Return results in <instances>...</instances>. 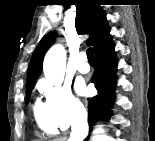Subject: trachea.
I'll return each instance as SVG.
<instances>
[{"label": "trachea", "mask_w": 155, "mask_h": 141, "mask_svg": "<svg viewBox=\"0 0 155 141\" xmlns=\"http://www.w3.org/2000/svg\"><path fill=\"white\" fill-rule=\"evenodd\" d=\"M89 63H95V57L92 48H88L86 51Z\"/></svg>", "instance_id": "3493384b"}]
</instances>
